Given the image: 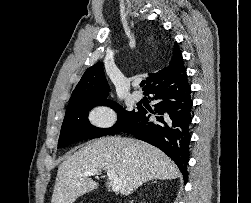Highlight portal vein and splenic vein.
Segmentation results:
<instances>
[{
	"label": "portal vein and splenic vein",
	"mask_w": 251,
	"mask_h": 203,
	"mask_svg": "<svg viewBox=\"0 0 251 203\" xmlns=\"http://www.w3.org/2000/svg\"><path fill=\"white\" fill-rule=\"evenodd\" d=\"M99 171L100 170L93 169V170H90L88 172H85L83 174V176L84 177L94 176V175L98 174ZM107 176H108V179L110 180L112 190L114 192H118L120 190V188H121V181L119 180L117 174L113 170H107Z\"/></svg>",
	"instance_id": "portal-vein-and-splenic-vein-1"
}]
</instances>
